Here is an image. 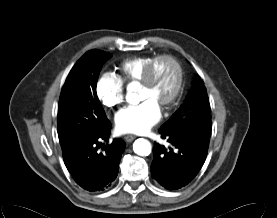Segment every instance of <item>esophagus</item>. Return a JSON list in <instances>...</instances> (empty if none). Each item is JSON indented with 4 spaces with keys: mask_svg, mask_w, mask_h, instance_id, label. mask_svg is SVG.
I'll return each mask as SVG.
<instances>
[{
    "mask_svg": "<svg viewBox=\"0 0 277 218\" xmlns=\"http://www.w3.org/2000/svg\"><path fill=\"white\" fill-rule=\"evenodd\" d=\"M135 138H136V136L131 135V134L124 136V140H125L126 142H131V141H133Z\"/></svg>",
    "mask_w": 277,
    "mask_h": 218,
    "instance_id": "obj_1",
    "label": "esophagus"
}]
</instances>
